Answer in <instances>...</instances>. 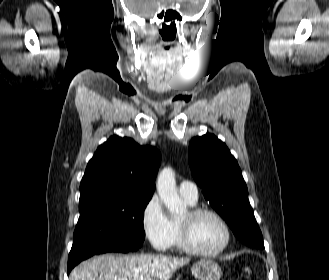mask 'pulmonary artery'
I'll use <instances>...</instances> for the list:
<instances>
[{
    "instance_id": "e3ab8cb5",
    "label": "pulmonary artery",
    "mask_w": 329,
    "mask_h": 280,
    "mask_svg": "<svg viewBox=\"0 0 329 280\" xmlns=\"http://www.w3.org/2000/svg\"><path fill=\"white\" fill-rule=\"evenodd\" d=\"M179 193L192 202L198 200V188L193 182L182 181L179 185Z\"/></svg>"
}]
</instances>
